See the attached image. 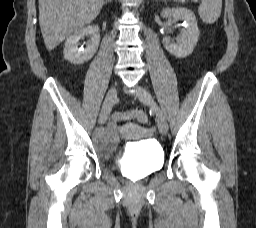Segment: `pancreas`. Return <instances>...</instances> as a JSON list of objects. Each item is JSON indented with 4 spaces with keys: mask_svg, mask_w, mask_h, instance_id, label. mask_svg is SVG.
Instances as JSON below:
<instances>
[{
    "mask_svg": "<svg viewBox=\"0 0 256 228\" xmlns=\"http://www.w3.org/2000/svg\"><path fill=\"white\" fill-rule=\"evenodd\" d=\"M175 1H178V2H181V3H185L187 0H175Z\"/></svg>",
    "mask_w": 256,
    "mask_h": 228,
    "instance_id": "obj_1",
    "label": "pancreas"
}]
</instances>
